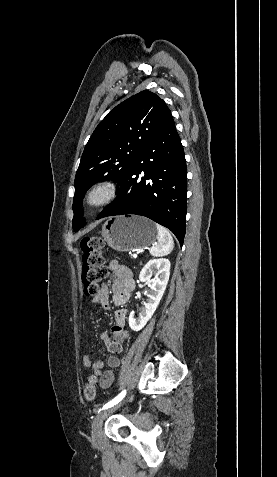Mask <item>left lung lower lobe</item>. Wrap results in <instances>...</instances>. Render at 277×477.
Masks as SVG:
<instances>
[{"label":"left lung lower lobe","mask_w":277,"mask_h":477,"mask_svg":"<svg viewBox=\"0 0 277 477\" xmlns=\"http://www.w3.org/2000/svg\"><path fill=\"white\" fill-rule=\"evenodd\" d=\"M143 173L144 176L139 178ZM118 200L96 219L136 214L170 229L180 245L186 231L187 168L173 118L140 151Z\"/></svg>","instance_id":"1"}]
</instances>
